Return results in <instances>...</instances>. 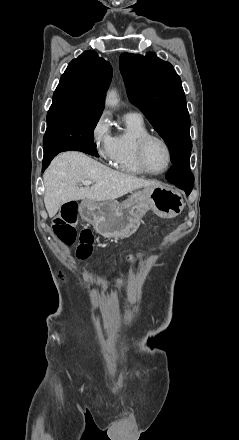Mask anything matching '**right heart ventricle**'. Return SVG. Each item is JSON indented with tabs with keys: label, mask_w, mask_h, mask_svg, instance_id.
Returning a JSON list of instances; mask_svg holds the SVG:
<instances>
[{
	"label": "right heart ventricle",
	"mask_w": 239,
	"mask_h": 440,
	"mask_svg": "<svg viewBox=\"0 0 239 440\" xmlns=\"http://www.w3.org/2000/svg\"><path fill=\"white\" fill-rule=\"evenodd\" d=\"M148 133V128L143 119L126 117V130L114 136V152L110 164L119 171L133 175H144L140 167L135 145L137 139Z\"/></svg>",
	"instance_id": "obj_1"
}]
</instances>
